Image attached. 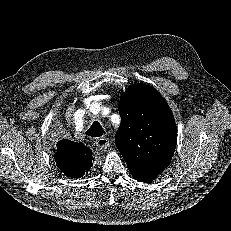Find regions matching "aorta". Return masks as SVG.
I'll list each match as a JSON object with an SVG mask.
<instances>
[{
	"instance_id": "obj_1",
	"label": "aorta",
	"mask_w": 231,
	"mask_h": 231,
	"mask_svg": "<svg viewBox=\"0 0 231 231\" xmlns=\"http://www.w3.org/2000/svg\"><path fill=\"white\" fill-rule=\"evenodd\" d=\"M96 107L100 109V106H99L98 103H92L91 106H90L91 111L94 112V108H96Z\"/></svg>"
}]
</instances>
